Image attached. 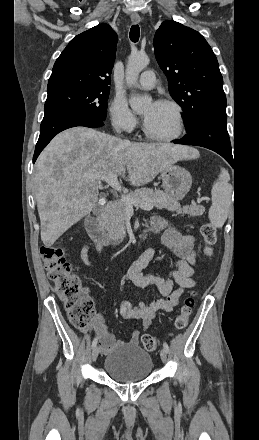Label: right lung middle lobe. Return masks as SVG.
<instances>
[{"mask_svg":"<svg viewBox=\"0 0 259 440\" xmlns=\"http://www.w3.org/2000/svg\"><path fill=\"white\" fill-rule=\"evenodd\" d=\"M109 90L73 88L48 94L44 118L79 114L101 121L106 119Z\"/></svg>","mask_w":259,"mask_h":440,"instance_id":"dd1d6c3e","label":"right lung middle lobe"}]
</instances>
